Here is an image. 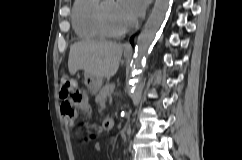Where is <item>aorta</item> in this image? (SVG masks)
<instances>
[{
	"instance_id": "obj_1",
	"label": "aorta",
	"mask_w": 242,
	"mask_h": 160,
	"mask_svg": "<svg viewBox=\"0 0 242 160\" xmlns=\"http://www.w3.org/2000/svg\"><path fill=\"white\" fill-rule=\"evenodd\" d=\"M172 0H155L154 8L150 14L145 28L137 39L132 70L127 78V93L132 95L135 84L139 79L146 56L154 42V39L164 22L165 16L171 6Z\"/></svg>"
}]
</instances>
